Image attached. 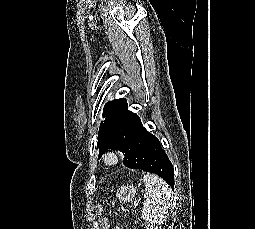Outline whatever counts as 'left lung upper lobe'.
<instances>
[{
    "label": "left lung upper lobe",
    "mask_w": 255,
    "mask_h": 229,
    "mask_svg": "<svg viewBox=\"0 0 255 229\" xmlns=\"http://www.w3.org/2000/svg\"><path fill=\"white\" fill-rule=\"evenodd\" d=\"M123 101V99H115L108 102L104 107V121H102L100 124L97 142V147L99 148V158L108 149L119 150L122 152H125L127 149L129 139L125 137L124 134L114 130L110 126V117L112 113L121 105Z\"/></svg>",
    "instance_id": "left-lung-upper-lobe-1"
}]
</instances>
